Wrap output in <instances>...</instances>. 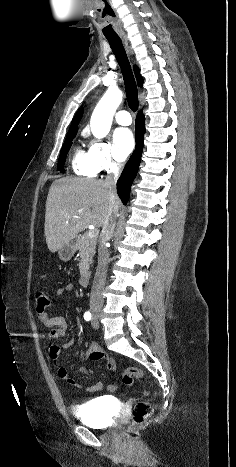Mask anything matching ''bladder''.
Wrapping results in <instances>:
<instances>
[{"label":"bladder","instance_id":"1","mask_svg":"<svg viewBox=\"0 0 236 467\" xmlns=\"http://www.w3.org/2000/svg\"><path fill=\"white\" fill-rule=\"evenodd\" d=\"M113 408L114 405L110 398L98 397L77 406L74 412L86 425L93 428H106L112 424L106 410Z\"/></svg>","mask_w":236,"mask_h":467}]
</instances>
